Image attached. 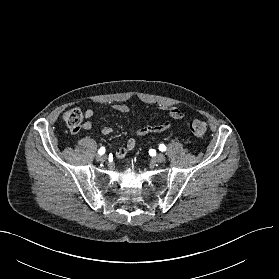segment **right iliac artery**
Instances as JSON below:
<instances>
[{
    "label": "right iliac artery",
    "instance_id": "right-iliac-artery-1",
    "mask_svg": "<svg viewBox=\"0 0 279 279\" xmlns=\"http://www.w3.org/2000/svg\"><path fill=\"white\" fill-rule=\"evenodd\" d=\"M105 153V147H101L99 150H98V154L99 155H103Z\"/></svg>",
    "mask_w": 279,
    "mask_h": 279
}]
</instances>
